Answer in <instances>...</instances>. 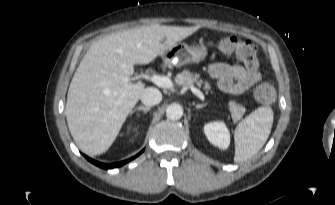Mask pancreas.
Returning <instances> with one entry per match:
<instances>
[{"label":"pancreas","instance_id":"obj_1","mask_svg":"<svg viewBox=\"0 0 335 205\" xmlns=\"http://www.w3.org/2000/svg\"><path fill=\"white\" fill-rule=\"evenodd\" d=\"M176 82L181 86H190L196 83L197 86L201 87L202 84H204L207 93L211 89L210 84L200 79L198 73H191L189 70H183L181 73L177 74ZM228 108L234 123L238 122L246 111L242 105L237 104L235 101H230L228 103Z\"/></svg>","mask_w":335,"mask_h":205}]
</instances>
